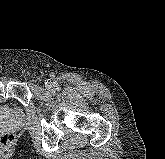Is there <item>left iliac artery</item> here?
I'll list each match as a JSON object with an SVG mask.
<instances>
[{"mask_svg": "<svg viewBox=\"0 0 165 159\" xmlns=\"http://www.w3.org/2000/svg\"><path fill=\"white\" fill-rule=\"evenodd\" d=\"M55 87H56V89H59V86L58 85H56Z\"/></svg>", "mask_w": 165, "mask_h": 159, "instance_id": "left-iliac-artery-1", "label": "left iliac artery"}]
</instances>
